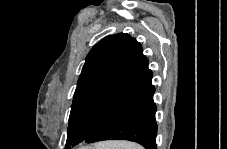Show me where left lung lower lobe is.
I'll return each mask as SVG.
<instances>
[{"mask_svg": "<svg viewBox=\"0 0 227 149\" xmlns=\"http://www.w3.org/2000/svg\"><path fill=\"white\" fill-rule=\"evenodd\" d=\"M152 76L148 59L142 52L126 88L83 142L129 140L146 149H156V105L153 101L155 88L151 83Z\"/></svg>", "mask_w": 227, "mask_h": 149, "instance_id": "obj_1", "label": "left lung lower lobe"}]
</instances>
